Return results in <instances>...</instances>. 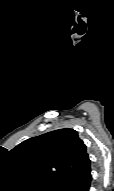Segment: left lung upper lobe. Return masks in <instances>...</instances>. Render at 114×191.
Wrapping results in <instances>:
<instances>
[{
  "label": "left lung upper lobe",
  "instance_id": "obj_1",
  "mask_svg": "<svg viewBox=\"0 0 114 191\" xmlns=\"http://www.w3.org/2000/svg\"><path fill=\"white\" fill-rule=\"evenodd\" d=\"M11 154L27 175L51 191H62L89 161L85 144L69 128L27 139Z\"/></svg>",
  "mask_w": 114,
  "mask_h": 191
}]
</instances>
